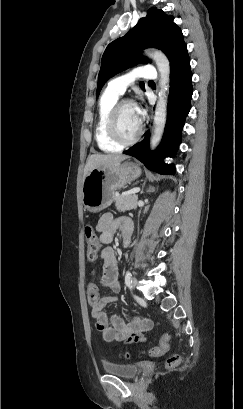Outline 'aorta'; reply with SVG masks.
<instances>
[{
  "instance_id": "1",
  "label": "aorta",
  "mask_w": 243,
  "mask_h": 409,
  "mask_svg": "<svg viewBox=\"0 0 243 409\" xmlns=\"http://www.w3.org/2000/svg\"><path fill=\"white\" fill-rule=\"evenodd\" d=\"M151 57L160 74L158 101L154 114V129L150 144L154 148L161 140L167 119L168 92L170 87V62L166 55L159 50L146 52Z\"/></svg>"
}]
</instances>
